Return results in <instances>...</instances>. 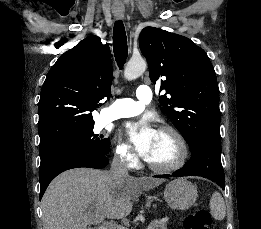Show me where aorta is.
<instances>
[{
	"label": "aorta",
	"mask_w": 261,
	"mask_h": 229,
	"mask_svg": "<svg viewBox=\"0 0 261 229\" xmlns=\"http://www.w3.org/2000/svg\"><path fill=\"white\" fill-rule=\"evenodd\" d=\"M146 68L147 62L144 58H141V56L140 58H130L125 66L124 76L128 78V80H133V78L141 76Z\"/></svg>",
	"instance_id": "obj_1"
}]
</instances>
